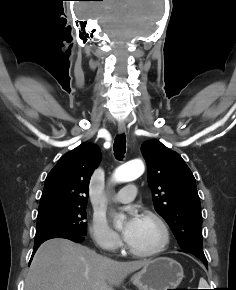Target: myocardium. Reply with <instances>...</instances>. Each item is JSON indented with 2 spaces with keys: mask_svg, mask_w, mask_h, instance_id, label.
<instances>
[{
  "mask_svg": "<svg viewBox=\"0 0 236 290\" xmlns=\"http://www.w3.org/2000/svg\"><path fill=\"white\" fill-rule=\"evenodd\" d=\"M141 217L144 219H149L157 225L161 233V239L155 247L148 250L136 249L130 246L129 244H127V250L132 255L141 257V258H148V257L156 256L160 254L162 251H164L170 242L169 228L166 222L164 221V219L156 212L145 210L142 212Z\"/></svg>",
  "mask_w": 236,
  "mask_h": 290,
  "instance_id": "1",
  "label": "myocardium"
}]
</instances>
